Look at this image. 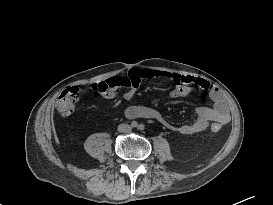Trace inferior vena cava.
I'll return each mask as SVG.
<instances>
[{
    "label": "inferior vena cava",
    "instance_id": "obj_1",
    "mask_svg": "<svg viewBox=\"0 0 273 205\" xmlns=\"http://www.w3.org/2000/svg\"><path fill=\"white\" fill-rule=\"evenodd\" d=\"M118 131L119 132H124V133L130 132L131 131V126L128 125V124H120L118 126Z\"/></svg>",
    "mask_w": 273,
    "mask_h": 205
}]
</instances>
